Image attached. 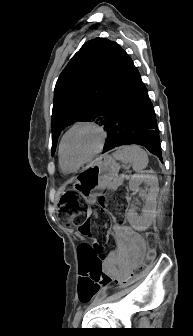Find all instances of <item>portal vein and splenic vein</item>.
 I'll return each instance as SVG.
<instances>
[{
  "mask_svg": "<svg viewBox=\"0 0 193 336\" xmlns=\"http://www.w3.org/2000/svg\"><path fill=\"white\" fill-rule=\"evenodd\" d=\"M121 177H125V175H124V174H122V175H121Z\"/></svg>",
  "mask_w": 193,
  "mask_h": 336,
  "instance_id": "obj_1",
  "label": "portal vein and splenic vein"
}]
</instances>
